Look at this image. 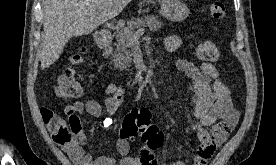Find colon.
<instances>
[{"mask_svg": "<svg viewBox=\"0 0 276 165\" xmlns=\"http://www.w3.org/2000/svg\"><path fill=\"white\" fill-rule=\"evenodd\" d=\"M212 17L221 22L226 18V7L220 1H214L210 5ZM197 56L204 62H213L220 57V50L212 40H204L196 50ZM83 54H77L72 58L59 76L55 86V94L62 99H73L82 92L81 74L77 65L82 62ZM46 119L50 124V133L53 139L60 145L74 143L78 139L80 127L75 123H65L54 112L46 113ZM139 135L141 137L142 151H155L160 148L164 141V135L158 126L152 123V115L148 108H134L127 113L120 128V138L130 139Z\"/></svg>", "mask_w": 276, "mask_h": 165, "instance_id": "1", "label": "colon"}]
</instances>
